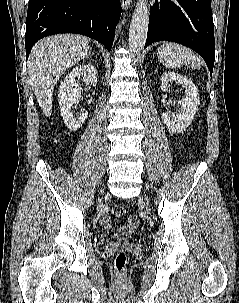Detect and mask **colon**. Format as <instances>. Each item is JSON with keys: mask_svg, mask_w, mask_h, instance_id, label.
I'll use <instances>...</instances> for the list:
<instances>
[{"mask_svg": "<svg viewBox=\"0 0 239 303\" xmlns=\"http://www.w3.org/2000/svg\"><path fill=\"white\" fill-rule=\"evenodd\" d=\"M112 213L115 217L121 218L125 215V209L123 206L113 207ZM127 261L126 254L123 250H120L115 257V267L118 271H122L125 268Z\"/></svg>", "mask_w": 239, "mask_h": 303, "instance_id": "1", "label": "colon"}]
</instances>
